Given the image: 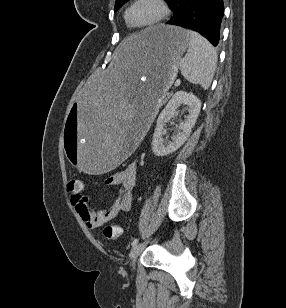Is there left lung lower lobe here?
<instances>
[{"label": "left lung lower lobe", "mask_w": 286, "mask_h": 308, "mask_svg": "<svg viewBox=\"0 0 286 308\" xmlns=\"http://www.w3.org/2000/svg\"><path fill=\"white\" fill-rule=\"evenodd\" d=\"M169 8L174 15L167 24L197 31L214 46L218 45L223 0H172Z\"/></svg>", "instance_id": "0a47b994"}]
</instances>
